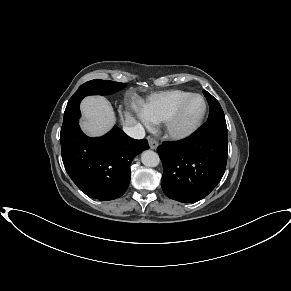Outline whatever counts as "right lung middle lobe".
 I'll list each match as a JSON object with an SVG mask.
<instances>
[{"label": "right lung middle lobe", "instance_id": "right-lung-middle-lobe-1", "mask_svg": "<svg viewBox=\"0 0 291 291\" xmlns=\"http://www.w3.org/2000/svg\"><path fill=\"white\" fill-rule=\"evenodd\" d=\"M124 83L109 80H92L84 83L70 98L64 112V117L71 118L79 115V104L88 95H108L121 90Z\"/></svg>", "mask_w": 291, "mask_h": 291}]
</instances>
